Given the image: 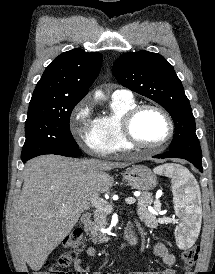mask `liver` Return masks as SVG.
Masks as SVG:
<instances>
[{
	"instance_id": "liver-1",
	"label": "liver",
	"mask_w": 215,
	"mask_h": 274,
	"mask_svg": "<svg viewBox=\"0 0 215 274\" xmlns=\"http://www.w3.org/2000/svg\"><path fill=\"white\" fill-rule=\"evenodd\" d=\"M125 162L46 155L26 163L14 218L13 237L29 267L38 271L49 254L71 232L89 199L113 185L106 173Z\"/></svg>"
}]
</instances>
